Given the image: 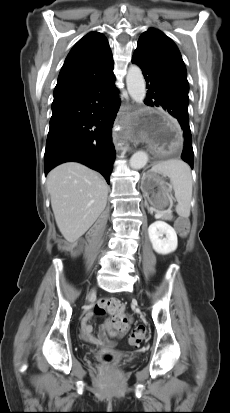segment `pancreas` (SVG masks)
<instances>
[{
    "mask_svg": "<svg viewBox=\"0 0 230 413\" xmlns=\"http://www.w3.org/2000/svg\"><path fill=\"white\" fill-rule=\"evenodd\" d=\"M163 218L165 219V220H172V215L170 214V213H165V214H163Z\"/></svg>",
    "mask_w": 230,
    "mask_h": 413,
    "instance_id": "cf45deb5",
    "label": "pancreas"
}]
</instances>
